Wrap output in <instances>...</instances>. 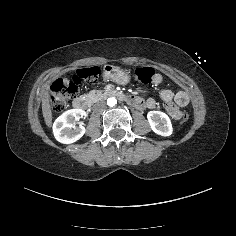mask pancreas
I'll return each instance as SVG.
<instances>
[{"mask_svg":"<svg viewBox=\"0 0 236 236\" xmlns=\"http://www.w3.org/2000/svg\"><path fill=\"white\" fill-rule=\"evenodd\" d=\"M87 98L91 101V102H96L98 100H102L104 99V94L102 90H92L87 94Z\"/></svg>","mask_w":236,"mask_h":236,"instance_id":"cf45deb5","label":"pancreas"}]
</instances>
